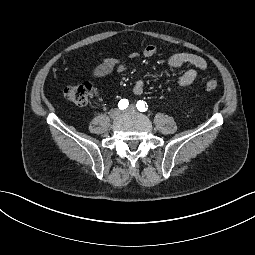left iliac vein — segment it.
<instances>
[{
    "instance_id": "left-iliac-vein-1",
    "label": "left iliac vein",
    "mask_w": 255,
    "mask_h": 255,
    "mask_svg": "<svg viewBox=\"0 0 255 255\" xmlns=\"http://www.w3.org/2000/svg\"><path fill=\"white\" fill-rule=\"evenodd\" d=\"M136 107L134 105H130L127 109V111H135Z\"/></svg>"
}]
</instances>
